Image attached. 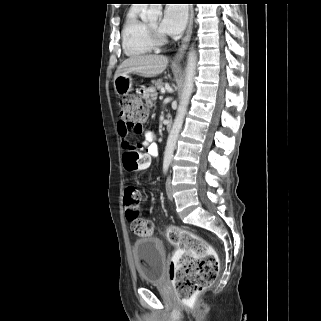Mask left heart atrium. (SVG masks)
<instances>
[{"instance_id":"left-heart-atrium-1","label":"left heart atrium","mask_w":321,"mask_h":321,"mask_svg":"<svg viewBox=\"0 0 321 321\" xmlns=\"http://www.w3.org/2000/svg\"><path fill=\"white\" fill-rule=\"evenodd\" d=\"M187 22V8L183 4H168L165 7L159 30L167 35L180 33Z\"/></svg>"}]
</instances>
